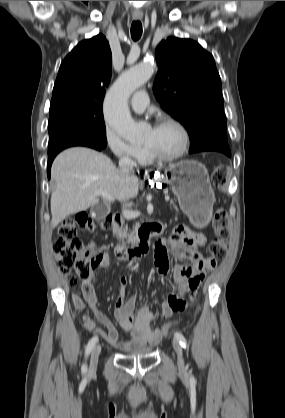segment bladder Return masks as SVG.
<instances>
[{
  "mask_svg": "<svg viewBox=\"0 0 285 418\" xmlns=\"http://www.w3.org/2000/svg\"><path fill=\"white\" fill-rule=\"evenodd\" d=\"M152 350V347L146 346V347H140V348H133L130 350V355L134 356H147L150 351Z\"/></svg>",
  "mask_w": 285,
  "mask_h": 418,
  "instance_id": "1",
  "label": "bladder"
}]
</instances>
